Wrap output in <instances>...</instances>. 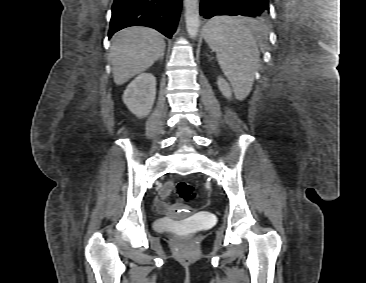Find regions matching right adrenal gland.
Returning a JSON list of instances; mask_svg holds the SVG:
<instances>
[{
	"instance_id": "2a0ac1e0",
	"label": "right adrenal gland",
	"mask_w": 366,
	"mask_h": 283,
	"mask_svg": "<svg viewBox=\"0 0 366 283\" xmlns=\"http://www.w3.org/2000/svg\"><path fill=\"white\" fill-rule=\"evenodd\" d=\"M164 54H165V53L163 52V53L160 55V58H159L160 60H163V59H164Z\"/></svg>"
}]
</instances>
